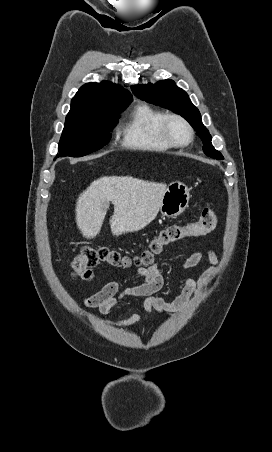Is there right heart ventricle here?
Listing matches in <instances>:
<instances>
[{
  "label": "right heart ventricle",
  "instance_id": "e07e8e85",
  "mask_svg": "<svg viewBox=\"0 0 272 452\" xmlns=\"http://www.w3.org/2000/svg\"><path fill=\"white\" fill-rule=\"evenodd\" d=\"M166 113L149 104L138 105L121 129L122 145L138 151L161 152L172 148L161 125Z\"/></svg>",
  "mask_w": 272,
  "mask_h": 452
}]
</instances>
